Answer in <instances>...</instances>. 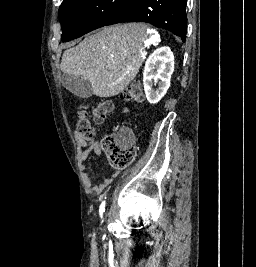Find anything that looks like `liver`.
<instances>
[{"mask_svg":"<svg viewBox=\"0 0 256 267\" xmlns=\"http://www.w3.org/2000/svg\"><path fill=\"white\" fill-rule=\"evenodd\" d=\"M146 30V24L104 26L75 48L65 50L60 70L89 80L93 94L99 98L117 96L129 86L142 66Z\"/></svg>","mask_w":256,"mask_h":267,"instance_id":"6515ba94","label":"liver"}]
</instances>
